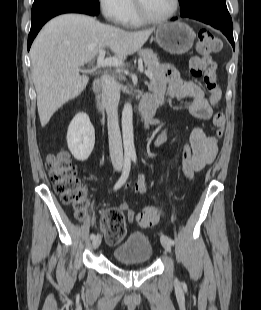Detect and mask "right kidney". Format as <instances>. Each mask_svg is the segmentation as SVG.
<instances>
[{"mask_svg":"<svg viewBox=\"0 0 261 310\" xmlns=\"http://www.w3.org/2000/svg\"><path fill=\"white\" fill-rule=\"evenodd\" d=\"M70 152L78 161L90 156L95 144V131L86 113H78L71 121L67 132Z\"/></svg>","mask_w":261,"mask_h":310,"instance_id":"obj_1","label":"right kidney"}]
</instances>
